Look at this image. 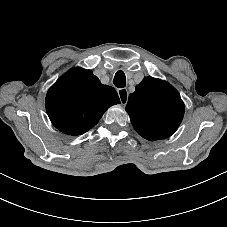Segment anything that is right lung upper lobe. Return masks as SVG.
I'll return each instance as SVG.
<instances>
[{
  "label": "right lung upper lobe",
  "mask_w": 227,
  "mask_h": 227,
  "mask_svg": "<svg viewBox=\"0 0 227 227\" xmlns=\"http://www.w3.org/2000/svg\"><path fill=\"white\" fill-rule=\"evenodd\" d=\"M120 103L113 87L102 85L91 70L73 68L49 89L46 110L52 124L68 135L94 127L104 112Z\"/></svg>",
  "instance_id": "cb5924a9"
}]
</instances>
